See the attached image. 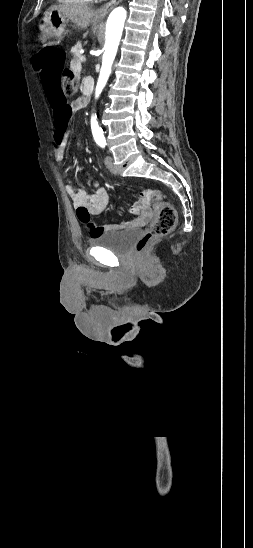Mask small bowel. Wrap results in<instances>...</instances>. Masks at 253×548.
<instances>
[{"label": "small bowel", "mask_w": 253, "mask_h": 548, "mask_svg": "<svg viewBox=\"0 0 253 548\" xmlns=\"http://www.w3.org/2000/svg\"><path fill=\"white\" fill-rule=\"evenodd\" d=\"M80 64L76 61H72L69 65V71L76 76L80 71ZM87 104V98L79 97L74 100L70 105V113L74 110L81 109ZM52 108L54 105H51ZM61 134L62 140L56 141L55 135ZM67 133H60L56 126V132L54 134V157L56 161L61 162L65 159V149L68 139ZM95 191L91 194L86 193L83 189L76 188L72 185L66 186L67 194L69 195L74 207L76 208V213L78 219L84 223L87 227L91 236H97L105 232L136 227L146 224L153 215V211L150 207V199L146 194H141V197L132 205L131 211L136 215V217L130 221L122 223H110L106 225H98L91 219V215H100L102 214L110 203V196L108 191L101 187L96 180L92 181ZM148 193V192H145ZM149 194V193H148Z\"/></svg>", "instance_id": "small-bowel-1"}]
</instances>
